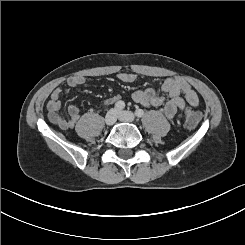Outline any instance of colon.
Returning a JSON list of instances; mask_svg holds the SVG:
<instances>
[{
  "label": "colon",
  "mask_w": 245,
  "mask_h": 245,
  "mask_svg": "<svg viewBox=\"0 0 245 245\" xmlns=\"http://www.w3.org/2000/svg\"><path fill=\"white\" fill-rule=\"evenodd\" d=\"M184 119L187 127L194 128L201 120V113L193 108L187 107L184 112Z\"/></svg>",
  "instance_id": "5ec220e1"
}]
</instances>
